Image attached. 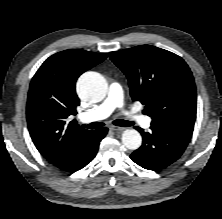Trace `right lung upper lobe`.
Instances as JSON below:
<instances>
[{
    "mask_svg": "<svg viewBox=\"0 0 222 219\" xmlns=\"http://www.w3.org/2000/svg\"><path fill=\"white\" fill-rule=\"evenodd\" d=\"M106 57L77 49L61 51L50 56L32 78L26 110L28 129L41 155L60 169L91 132L75 120L66 123L80 104L76 80Z\"/></svg>",
    "mask_w": 222,
    "mask_h": 219,
    "instance_id": "right-lung-upper-lobe-1",
    "label": "right lung upper lobe"
}]
</instances>
